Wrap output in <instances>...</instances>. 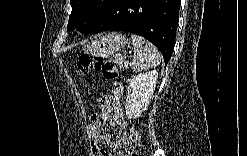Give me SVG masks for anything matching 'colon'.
Masks as SVG:
<instances>
[{"mask_svg":"<svg viewBox=\"0 0 247 156\" xmlns=\"http://www.w3.org/2000/svg\"><path fill=\"white\" fill-rule=\"evenodd\" d=\"M78 74L81 78L85 79L89 74L94 71L101 72L103 77L108 81H115L118 77L116 64L112 59L102 55L89 56L81 55L77 61ZM93 92V88H90ZM131 144L128 155H137L140 149V136L138 131L130 128Z\"/></svg>","mask_w":247,"mask_h":156,"instance_id":"5ec220e1","label":"colon"}]
</instances>
